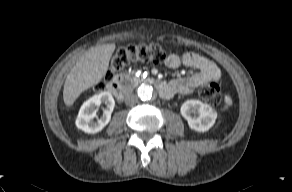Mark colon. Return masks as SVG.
I'll use <instances>...</instances> for the list:
<instances>
[{
	"label": "colon",
	"instance_id": "obj_1",
	"mask_svg": "<svg viewBox=\"0 0 292 192\" xmlns=\"http://www.w3.org/2000/svg\"><path fill=\"white\" fill-rule=\"evenodd\" d=\"M166 59L161 45L157 43L130 44L117 50L111 61L105 80L96 85V90H103L106 84L113 80L118 72L130 63L144 62L157 64ZM200 97L208 103L218 105L221 102V91L217 83H210L199 90Z\"/></svg>",
	"mask_w": 292,
	"mask_h": 192
}]
</instances>
